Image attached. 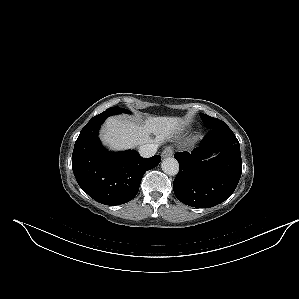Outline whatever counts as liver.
<instances>
[{"instance_id":"1","label":"liver","mask_w":299,"mask_h":299,"mask_svg":"<svg viewBox=\"0 0 299 299\" xmlns=\"http://www.w3.org/2000/svg\"><path fill=\"white\" fill-rule=\"evenodd\" d=\"M183 123L178 117H149L143 124L112 117L101 130V139L116 150L147 143L160 144L180 130Z\"/></svg>"}]
</instances>
